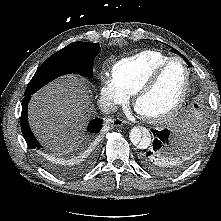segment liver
<instances>
[{"label":"liver","mask_w":221,"mask_h":221,"mask_svg":"<svg viewBox=\"0 0 221 221\" xmlns=\"http://www.w3.org/2000/svg\"><path fill=\"white\" fill-rule=\"evenodd\" d=\"M91 101L84 80L62 77L33 95L28 108L35 136L57 154L72 152L90 115Z\"/></svg>","instance_id":"6515ba94"}]
</instances>
